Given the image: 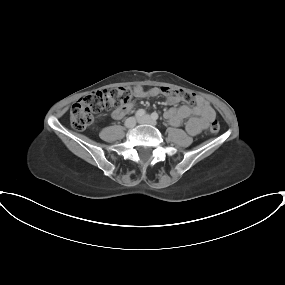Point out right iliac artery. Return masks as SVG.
Listing matches in <instances>:
<instances>
[{"label": "right iliac artery", "mask_w": 285, "mask_h": 285, "mask_svg": "<svg viewBox=\"0 0 285 285\" xmlns=\"http://www.w3.org/2000/svg\"><path fill=\"white\" fill-rule=\"evenodd\" d=\"M146 114V112H145V110H143V109H139L137 112H136V116L137 117H142V116H144Z\"/></svg>", "instance_id": "82829eb1"}]
</instances>
